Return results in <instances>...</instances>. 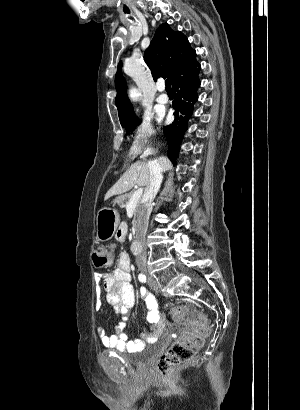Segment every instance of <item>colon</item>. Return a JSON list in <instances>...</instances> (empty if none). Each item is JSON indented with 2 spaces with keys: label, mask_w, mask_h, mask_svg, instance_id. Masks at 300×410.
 I'll list each match as a JSON object with an SVG mask.
<instances>
[{
  "label": "colon",
  "mask_w": 300,
  "mask_h": 410,
  "mask_svg": "<svg viewBox=\"0 0 300 410\" xmlns=\"http://www.w3.org/2000/svg\"><path fill=\"white\" fill-rule=\"evenodd\" d=\"M92 260L97 269L109 268L113 262L112 249L106 248L93 253ZM172 313L175 316V323L183 326L185 330L182 336L156 359L155 369L164 378L192 360L210 331L206 317L192 304L174 306Z\"/></svg>",
  "instance_id": "obj_1"
}]
</instances>
